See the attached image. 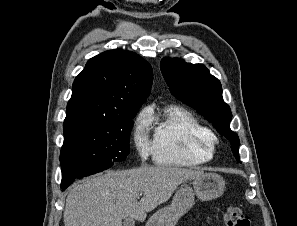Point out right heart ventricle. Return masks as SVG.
<instances>
[{"mask_svg": "<svg viewBox=\"0 0 297 226\" xmlns=\"http://www.w3.org/2000/svg\"><path fill=\"white\" fill-rule=\"evenodd\" d=\"M155 124L153 157L160 165L194 167L211 161L216 136L190 111L170 106L161 117L149 114Z\"/></svg>", "mask_w": 297, "mask_h": 226, "instance_id": "e07e8e85", "label": "right heart ventricle"}]
</instances>
